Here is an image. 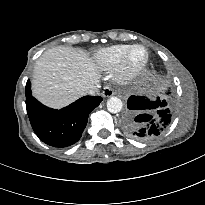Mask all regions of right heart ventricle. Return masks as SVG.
<instances>
[{"instance_id":"obj_1","label":"right heart ventricle","mask_w":205,"mask_h":205,"mask_svg":"<svg viewBox=\"0 0 205 205\" xmlns=\"http://www.w3.org/2000/svg\"><path fill=\"white\" fill-rule=\"evenodd\" d=\"M131 45L117 44L97 50L93 55L95 64L102 70H111L118 66Z\"/></svg>"}]
</instances>
